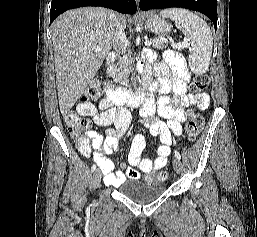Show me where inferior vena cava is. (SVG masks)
Returning <instances> with one entry per match:
<instances>
[{
	"mask_svg": "<svg viewBox=\"0 0 257 237\" xmlns=\"http://www.w3.org/2000/svg\"><path fill=\"white\" fill-rule=\"evenodd\" d=\"M111 24L115 31V48L119 51L123 52V44L126 40V36L124 33V26L122 25L121 21L119 20L118 16L115 13H111L110 15Z\"/></svg>",
	"mask_w": 257,
	"mask_h": 237,
	"instance_id": "inferior-vena-cava-1",
	"label": "inferior vena cava"
}]
</instances>
